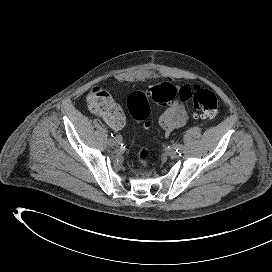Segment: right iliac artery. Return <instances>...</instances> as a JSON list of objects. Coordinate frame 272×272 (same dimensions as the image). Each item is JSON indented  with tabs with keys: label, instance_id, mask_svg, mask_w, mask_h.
Wrapping results in <instances>:
<instances>
[{
	"label": "right iliac artery",
	"instance_id": "right-iliac-artery-1",
	"mask_svg": "<svg viewBox=\"0 0 272 272\" xmlns=\"http://www.w3.org/2000/svg\"><path fill=\"white\" fill-rule=\"evenodd\" d=\"M108 138L112 143H117L119 141V135L117 133H112Z\"/></svg>",
	"mask_w": 272,
	"mask_h": 272
}]
</instances>
